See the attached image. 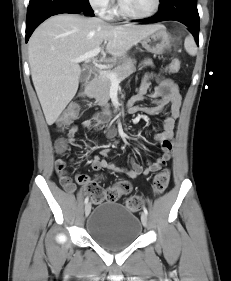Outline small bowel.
<instances>
[{"label": "small bowel", "instance_id": "c3829d8e", "mask_svg": "<svg viewBox=\"0 0 231 281\" xmlns=\"http://www.w3.org/2000/svg\"><path fill=\"white\" fill-rule=\"evenodd\" d=\"M144 67H152L153 63L150 59H145L143 61ZM151 81L157 83L153 91H149V85ZM149 100L157 109H164L167 106L170 108L169 114L166 116L163 122V129L154 135V140L157 141L161 147L162 155L155 161H147L145 166L138 164L134 159H131V169H126L124 167L118 166L116 164L107 161V156L109 154V149L104 148L100 152V156H93L90 165L93 170L100 171L103 169L121 174L128 178H137L140 175H148L152 172H156L163 168L166 163L173 156V146H174V130L176 125V120L180 114L181 107V95L177 85L170 79L163 77L158 72H150L146 74L143 79L141 88L139 92L132 98V102ZM83 128H100V124L91 121H85L82 124ZM77 127L72 126L67 134L68 142L79 147L80 144L75 140L74 136L77 132ZM105 134L108 138H114L116 136V131L112 127H107ZM90 148V145H87ZM55 170L58 174L59 181L62 187L69 193L75 191V184L68 175L67 164L63 159H57L55 162ZM76 181L83 186H87L91 182V177L86 174L75 175Z\"/></svg>", "mask_w": 231, "mask_h": 281}]
</instances>
